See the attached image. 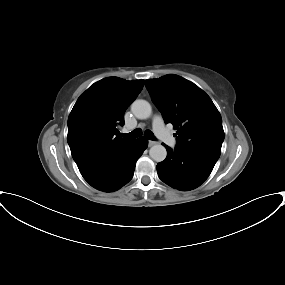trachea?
I'll return each instance as SVG.
<instances>
[{
    "mask_svg": "<svg viewBox=\"0 0 285 285\" xmlns=\"http://www.w3.org/2000/svg\"><path fill=\"white\" fill-rule=\"evenodd\" d=\"M141 135H142V131L139 128L133 130L130 133L122 134V136L125 137V138H137V137H140ZM144 135L149 140H155V136H154L153 132L150 131V130H146Z\"/></svg>",
    "mask_w": 285,
    "mask_h": 285,
    "instance_id": "trachea-1",
    "label": "trachea"
}]
</instances>
